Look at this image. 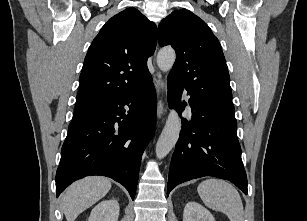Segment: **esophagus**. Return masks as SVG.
<instances>
[{
    "mask_svg": "<svg viewBox=\"0 0 307 221\" xmlns=\"http://www.w3.org/2000/svg\"><path fill=\"white\" fill-rule=\"evenodd\" d=\"M155 55H156V53H155ZM154 82H155V86H156L158 97H159L160 93L165 91V81H164V78L161 75V73H156L154 75ZM165 112H166V110H165V107H164V103L159 98L158 103H157V117H158V119H161L163 117V115L165 114Z\"/></svg>",
    "mask_w": 307,
    "mask_h": 221,
    "instance_id": "1",
    "label": "esophagus"
}]
</instances>
